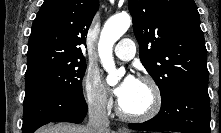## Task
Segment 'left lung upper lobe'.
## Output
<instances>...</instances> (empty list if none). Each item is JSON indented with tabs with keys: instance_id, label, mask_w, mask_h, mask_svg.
I'll use <instances>...</instances> for the list:
<instances>
[{
	"instance_id": "5c2ea615",
	"label": "left lung upper lobe",
	"mask_w": 221,
	"mask_h": 133,
	"mask_svg": "<svg viewBox=\"0 0 221 133\" xmlns=\"http://www.w3.org/2000/svg\"><path fill=\"white\" fill-rule=\"evenodd\" d=\"M140 59L164 98L187 80L208 81L207 50L193 0H128Z\"/></svg>"
}]
</instances>
